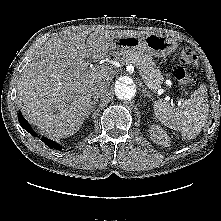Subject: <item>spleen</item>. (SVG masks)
<instances>
[{
	"label": "spleen",
	"mask_w": 221,
	"mask_h": 221,
	"mask_svg": "<svg viewBox=\"0 0 221 221\" xmlns=\"http://www.w3.org/2000/svg\"><path fill=\"white\" fill-rule=\"evenodd\" d=\"M207 88L201 85L180 107L167 102L155 101L156 117L170 129L180 131L183 138H195L208 119Z\"/></svg>",
	"instance_id": "1"
}]
</instances>
